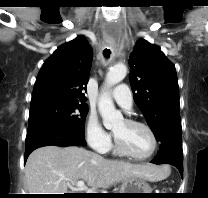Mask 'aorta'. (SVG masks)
Masks as SVG:
<instances>
[{
  "label": "aorta",
  "instance_id": "762f6f07",
  "mask_svg": "<svg viewBox=\"0 0 208 198\" xmlns=\"http://www.w3.org/2000/svg\"><path fill=\"white\" fill-rule=\"evenodd\" d=\"M127 74V67L124 64H116L110 68L105 78V91L101 94L98 101V110L103 119V125L106 128H112L118 122L123 120L122 114L116 110L113 100L106 92L116 84L120 83Z\"/></svg>",
  "mask_w": 208,
  "mask_h": 198
}]
</instances>
